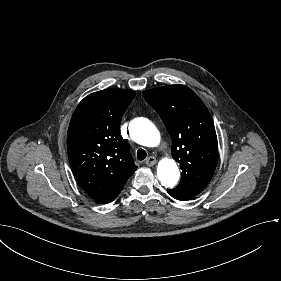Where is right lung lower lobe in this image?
<instances>
[{
	"mask_svg": "<svg viewBox=\"0 0 281 281\" xmlns=\"http://www.w3.org/2000/svg\"><path fill=\"white\" fill-rule=\"evenodd\" d=\"M123 186L120 187L119 189H117L116 191H114L113 193H111L109 196H107L106 198L102 199L100 202L101 204H105V203H110L112 202L121 192Z\"/></svg>",
	"mask_w": 281,
	"mask_h": 281,
	"instance_id": "right-lung-lower-lobe-1",
	"label": "right lung lower lobe"
}]
</instances>
